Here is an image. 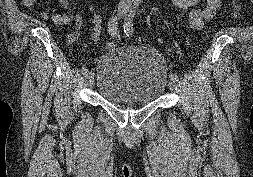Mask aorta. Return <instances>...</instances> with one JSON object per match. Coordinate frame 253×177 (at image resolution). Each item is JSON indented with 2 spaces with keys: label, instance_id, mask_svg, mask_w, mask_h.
<instances>
[{
  "label": "aorta",
  "instance_id": "obj_1",
  "mask_svg": "<svg viewBox=\"0 0 253 177\" xmlns=\"http://www.w3.org/2000/svg\"><path fill=\"white\" fill-rule=\"evenodd\" d=\"M137 3L140 2L141 0H135Z\"/></svg>",
  "mask_w": 253,
  "mask_h": 177
}]
</instances>
